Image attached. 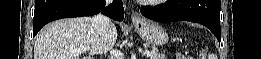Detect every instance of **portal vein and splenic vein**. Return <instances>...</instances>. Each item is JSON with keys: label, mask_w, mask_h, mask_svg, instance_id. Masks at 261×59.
<instances>
[{"label": "portal vein and splenic vein", "mask_w": 261, "mask_h": 59, "mask_svg": "<svg viewBox=\"0 0 261 59\" xmlns=\"http://www.w3.org/2000/svg\"><path fill=\"white\" fill-rule=\"evenodd\" d=\"M89 48L88 47H82V48H78L77 50L74 51L75 54H81L83 52L88 51ZM111 54L117 58H121L122 57V53L120 51H116V50H111L110 51ZM144 54H146L148 57L151 56V52L149 51H144Z\"/></svg>", "instance_id": "18ae733b"}]
</instances>
